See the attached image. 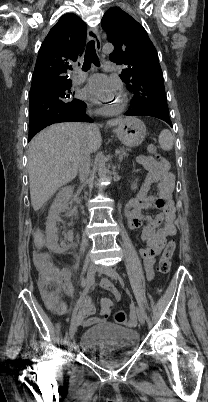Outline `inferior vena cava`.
<instances>
[{
  "label": "inferior vena cava",
  "mask_w": 208,
  "mask_h": 402,
  "mask_svg": "<svg viewBox=\"0 0 208 402\" xmlns=\"http://www.w3.org/2000/svg\"><path fill=\"white\" fill-rule=\"evenodd\" d=\"M89 114H91V110H89ZM80 128L81 132H87V128H89V126L88 124H80ZM76 158L80 182L84 184V182H87L89 176H93V172L92 170H90V150L85 138H82V140H80V148L78 150Z\"/></svg>",
  "instance_id": "obj_1"
}]
</instances>
